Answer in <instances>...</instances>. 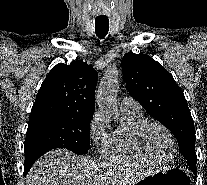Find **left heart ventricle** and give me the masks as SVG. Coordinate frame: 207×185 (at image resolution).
I'll return each mask as SVG.
<instances>
[{
	"mask_svg": "<svg viewBox=\"0 0 207 185\" xmlns=\"http://www.w3.org/2000/svg\"><path fill=\"white\" fill-rule=\"evenodd\" d=\"M147 145L150 151L161 160L170 159L174 151V146L169 136L157 127H152L149 130Z\"/></svg>",
	"mask_w": 207,
	"mask_h": 185,
	"instance_id": "b2bd125f",
	"label": "left heart ventricle"
}]
</instances>
